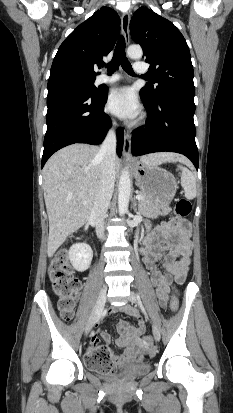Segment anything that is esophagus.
I'll return each instance as SVG.
<instances>
[{"label": "esophagus", "mask_w": 233, "mask_h": 413, "mask_svg": "<svg viewBox=\"0 0 233 413\" xmlns=\"http://www.w3.org/2000/svg\"><path fill=\"white\" fill-rule=\"evenodd\" d=\"M129 25H130V14L128 12H124L121 17V26H122V32H123L126 44H129V41H130ZM123 155L127 161L132 160L131 135L127 131H124Z\"/></svg>", "instance_id": "34e87169"}]
</instances>
